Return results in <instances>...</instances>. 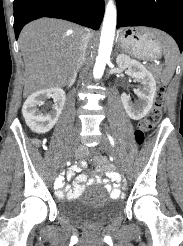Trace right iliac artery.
Wrapping results in <instances>:
<instances>
[{"label":"right iliac artery","mask_w":183,"mask_h":246,"mask_svg":"<svg viewBox=\"0 0 183 246\" xmlns=\"http://www.w3.org/2000/svg\"><path fill=\"white\" fill-rule=\"evenodd\" d=\"M59 181H60L59 179L56 180V182H55V188H58Z\"/></svg>","instance_id":"82829eb1"}]
</instances>
